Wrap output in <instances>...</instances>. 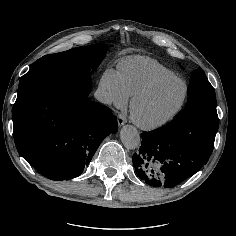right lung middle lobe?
<instances>
[{"mask_svg":"<svg viewBox=\"0 0 236 236\" xmlns=\"http://www.w3.org/2000/svg\"><path fill=\"white\" fill-rule=\"evenodd\" d=\"M107 49L106 44H94L41 57L20 79L18 96L31 88L81 75L90 78V69L98 67Z\"/></svg>","mask_w":236,"mask_h":236,"instance_id":"dd1d6c3e","label":"right lung middle lobe"}]
</instances>
